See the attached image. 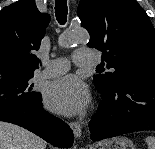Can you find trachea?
Segmentation results:
<instances>
[{"label":"trachea","mask_w":155,"mask_h":149,"mask_svg":"<svg viewBox=\"0 0 155 149\" xmlns=\"http://www.w3.org/2000/svg\"><path fill=\"white\" fill-rule=\"evenodd\" d=\"M55 14H56V19L60 24L63 25L66 23L67 14H68L67 0H56Z\"/></svg>","instance_id":"obj_1"}]
</instances>
